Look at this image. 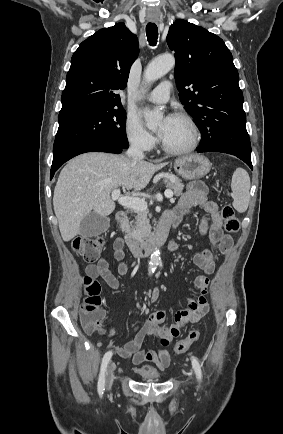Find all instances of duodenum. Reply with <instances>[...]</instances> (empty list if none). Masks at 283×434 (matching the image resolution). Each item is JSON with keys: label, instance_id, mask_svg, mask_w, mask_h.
Masks as SVG:
<instances>
[{"label": "duodenum", "instance_id": "duodenum-1", "mask_svg": "<svg viewBox=\"0 0 283 434\" xmlns=\"http://www.w3.org/2000/svg\"><path fill=\"white\" fill-rule=\"evenodd\" d=\"M116 223L118 229L125 233V241L130 250L136 257H146L155 249L163 245L169 235L171 222L168 220H162L157 231L145 241H140L129 233H126L125 227L128 220L127 212L119 210L116 213Z\"/></svg>", "mask_w": 283, "mask_h": 434}]
</instances>
